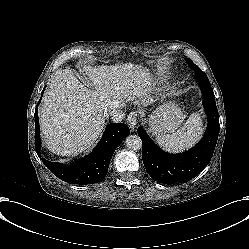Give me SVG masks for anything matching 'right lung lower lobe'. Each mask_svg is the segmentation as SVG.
Segmentation results:
<instances>
[{"label":"right lung lower lobe","instance_id":"1","mask_svg":"<svg viewBox=\"0 0 249 249\" xmlns=\"http://www.w3.org/2000/svg\"><path fill=\"white\" fill-rule=\"evenodd\" d=\"M129 133L130 129L124 123L108 124L99 144L87 157L75 161L69 166H64L60 163L47 161L44 158H41L40 154L41 139H40V130H39V121H38V105L36 106L35 110L36 152L39 158L44 163V165L54 175H56L58 178L70 184L84 185V184H93L100 182L108 172L109 163L115 149Z\"/></svg>","mask_w":249,"mask_h":249}]
</instances>
